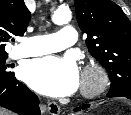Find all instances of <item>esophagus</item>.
<instances>
[{"mask_svg":"<svg viewBox=\"0 0 131 115\" xmlns=\"http://www.w3.org/2000/svg\"><path fill=\"white\" fill-rule=\"evenodd\" d=\"M47 110L50 115H59L60 114V107L55 102H49L47 106Z\"/></svg>","mask_w":131,"mask_h":115,"instance_id":"obj_1","label":"esophagus"}]
</instances>
